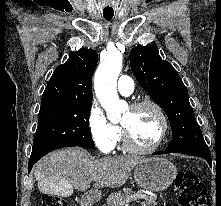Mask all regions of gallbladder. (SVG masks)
Listing matches in <instances>:
<instances>
[{"mask_svg": "<svg viewBox=\"0 0 221 206\" xmlns=\"http://www.w3.org/2000/svg\"><path fill=\"white\" fill-rule=\"evenodd\" d=\"M37 190H42L43 194H55V198H68L73 192L70 181H39Z\"/></svg>", "mask_w": 221, "mask_h": 206, "instance_id": "bac80fb5", "label": "gallbladder"}]
</instances>
